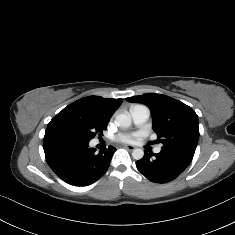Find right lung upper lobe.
I'll use <instances>...</instances> for the list:
<instances>
[{
  "instance_id": "cb5924a9",
  "label": "right lung upper lobe",
  "mask_w": 235,
  "mask_h": 235,
  "mask_svg": "<svg viewBox=\"0 0 235 235\" xmlns=\"http://www.w3.org/2000/svg\"><path fill=\"white\" fill-rule=\"evenodd\" d=\"M121 99H109L100 96L81 98L65 107L48 124L46 132L59 129V123L66 117L83 114H96L109 122L112 114L121 105Z\"/></svg>"
}]
</instances>
